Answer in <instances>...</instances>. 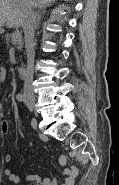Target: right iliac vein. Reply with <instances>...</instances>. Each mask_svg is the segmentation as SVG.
Instances as JSON below:
<instances>
[{"label":"right iliac vein","instance_id":"63e3f726","mask_svg":"<svg viewBox=\"0 0 119 185\" xmlns=\"http://www.w3.org/2000/svg\"><path fill=\"white\" fill-rule=\"evenodd\" d=\"M26 104L28 105V107H30L31 109H33L34 108L35 101L33 99H28V100H26Z\"/></svg>","mask_w":119,"mask_h":185}]
</instances>
